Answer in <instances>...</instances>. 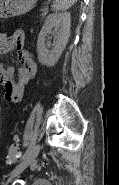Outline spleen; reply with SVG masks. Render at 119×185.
<instances>
[{
  "mask_svg": "<svg viewBox=\"0 0 119 185\" xmlns=\"http://www.w3.org/2000/svg\"><path fill=\"white\" fill-rule=\"evenodd\" d=\"M76 2L77 0H55L52 8L56 11H65Z\"/></svg>",
  "mask_w": 119,
  "mask_h": 185,
  "instance_id": "3e777b00",
  "label": "spleen"
}]
</instances>
